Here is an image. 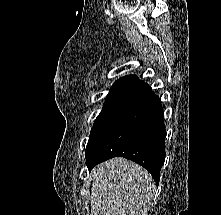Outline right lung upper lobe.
I'll return each instance as SVG.
<instances>
[{
	"mask_svg": "<svg viewBox=\"0 0 221 215\" xmlns=\"http://www.w3.org/2000/svg\"><path fill=\"white\" fill-rule=\"evenodd\" d=\"M150 90L149 85L139 80L137 76H124L113 84L107 96V101H133Z\"/></svg>",
	"mask_w": 221,
	"mask_h": 215,
	"instance_id": "cb5924a9",
	"label": "right lung upper lobe"
}]
</instances>
